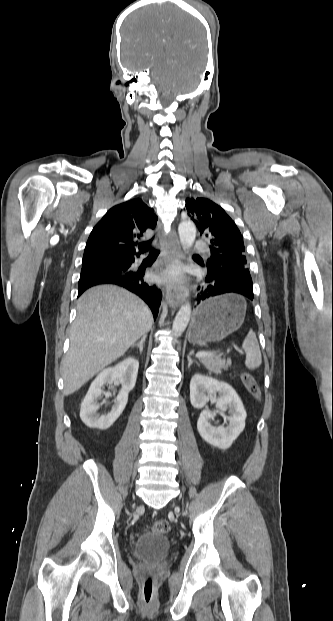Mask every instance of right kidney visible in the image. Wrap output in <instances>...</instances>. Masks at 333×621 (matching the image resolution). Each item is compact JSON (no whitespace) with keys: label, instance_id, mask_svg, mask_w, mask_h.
<instances>
[{"label":"right kidney","instance_id":"1","mask_svg":"<svg viewBox=\"0 0 333 621\" xmlns=\"http://www.w3.org/2000/svg\"><path fill=\"white\" fill-rule=\"evenodd\" d=\"M138 368V360L129 357L116 366L106 368L98 374L92 382L80 407V418L86 426L105 430L117 420L127 404L129 392L135 386ZM115 380H119L122 385L115 400V404L112 406L110 412L99 415L97 413L99 409L97 399L101 394H106L103 390V386L105 384H112Z\"/></svg>","mask_w":333,"mask_h":621}]
</instances>
